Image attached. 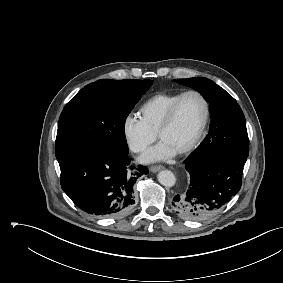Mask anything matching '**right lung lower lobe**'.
<instances>
[{
    "label": "right lung lower lobe",
    "mask_w": 283,
    "mask_h": 283,
    "mask_svg": "<svg viewBox=\"0 0 283 283\" xmlns=\"http://www.w3.org/2000/svg\"><path fill=\"white\" fill-rule=\"evenodd\" d=\"M128 153L104 147L77 152L59 163L61 187L83 211L99 217L120 216L131 210L133 187L148 173L145 166L129 168Z\"/></svg>",
    "instance_id": "98d812e1"
}]
</instances>
